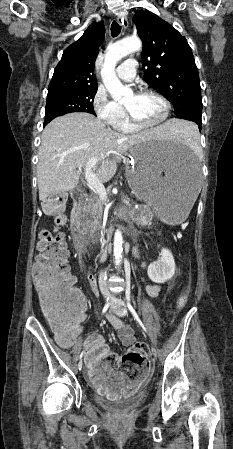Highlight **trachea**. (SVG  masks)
Segmentation results:
<instances>
[{
  "label": "trachea",
  "mask_w": 233,
  "mask_h": 449,
  "mask_svg": "<svg viewBox=\"0 0 233 449\" xmlns=\"http://www.w3.org/2000/svg\"><path fill=\"white\" fill-rule=\"evenodd\" d=\"M120 30L121 26L116 21H113L111 25V35L113 37H117L120 33Z\"/></svg>",
  "instance_id": "obj_1"
}]
</instances>
